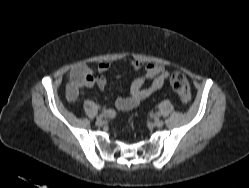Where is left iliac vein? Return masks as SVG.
<instances>
[{
  "label": "left iliac vein",
  "instance_id": "1",
  "mask_svg": "<svg viewBox=\"0 0 249 188\" xmlns=\"http://www.w3.org/2000/svg\"><path fill=\"white\" fill-rule=\"evenodd\" d=\"M153 124H154V126L160 128V127H162L164 125V122L157 118V119L154 120Z\"/></svg>",
  "mask_w": 249,
  "mask_h": 188
}]
</instances>
